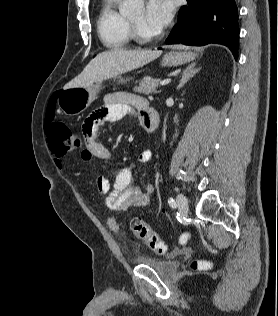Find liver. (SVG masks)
<instances>
[{"label": "liver", "mask_w": 278, "mask_h": 316, "mask_svg": "<svg viewBox=\"0 0 278 316\" xmlns=\"http://www.w3.org/2000/svg\"><path fill=\"white\" fill-rule=\"evenodd\" d=\"M160 50H123L114 49L98 54L84 70L64 89L87 87L94 83L115 77L122 73L137 69L155 60L161 55Z\"/></svg>", "instance_id": "6515ba94"}]
</instances>
